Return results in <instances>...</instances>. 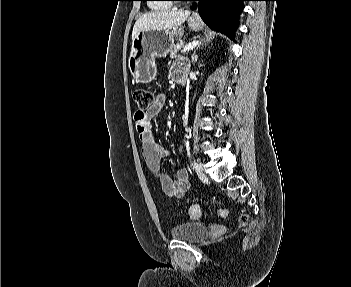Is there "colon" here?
Listing matches in <instances>:
<instances>
[{"label":"colon","instance_id":"obj_1","mask_svg":"<svg viewBox=\"0 0 351 287\" xmlns=\"http://www.w3.org/2000/svg\"><path fill=\"white\" fill-rule=\"evenodd\" d=\"M133 99L137 105L138 112L145 113L153 105L155 95L149 89L138 88L133 93ZM217 215L221 218H225L228 215V211L226 209H222L217 213ZM247 219L248 217L246 214H242L240 216V222L242 224L246 223Z\"/></svg>","mask_w":351,"mask_h":287}]
</instances>
